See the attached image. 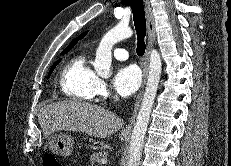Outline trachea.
<instances>
[{
  "label": "trachea",
  "mask_w": 231,
  "mask_h": 166,
  "mask_svg": "<svg viewBox=\"0 0 231 166\" xmlns=\"http://www.w3.org/2000/svg\"><path fill=\"white\" fill-rule=\"evenodd\" d=\"M132 12L133 21L137 34V55L142 56L145 53V42L144 38L146 36V18L144 11V4L142 0H129Z\"/></svg>",
  "instance_id": "3493384b"
}]
</instances>
